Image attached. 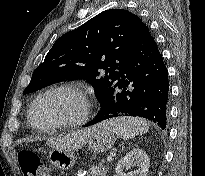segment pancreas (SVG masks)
Here are the masks:
<instances>
[{
    "label": "pancreas",
    "mask_w": 205,
    "mask_h": 176,
    "mask_svg": "<svg viewBox=\"0 0 205 176\" xmlns=\"http://www.w3.org/2000/svg\"><path fill=\"white\" fill-rule=\"evenodd\" d=\"M108 166L92 167L89 176H106Z\"/></svg>",
    "instance_id": "cf45deb5"
}]
</instances>
